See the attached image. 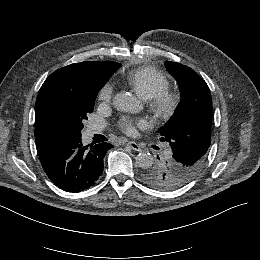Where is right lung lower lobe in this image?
Listing matches in <instances>:
<instances>
[{"label": "right lung lower lobe", "instance_id": "1", "mask_svg": "<svg viewBox=\"0 0 260 260\" xmlns=\"http://www.w3.org/2000/svg\"><path fill=\"white\" fill-rule=\"evenodd\" d=\"M112 147L106 142L83 146L81 137L70 138L40 162L56 186L77 193L96 183L103 172V158Z\"/></svg>", "mask_w": 260, "mask_h": 260}]
</instances>
